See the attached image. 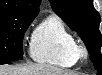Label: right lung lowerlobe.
I'll use <instances>...</instances> for the list:
<instances>
[{
	"label": "right lung lower lobe",
	"instance_id": "right-lung-lower-lobe-1",
	"mask_svg": "<svg viewBox=\"0 0 102 75\" xmlns=\"http://www.w3.org/2000/svg\"><path fill=\"white\" fill-rule=\"evenodd\" d=\"M11 63V61H2V62H0V64H10Z\"/></svg>",
	"mask_w": 102,
	"mask_h": 75
}]
</instances>
